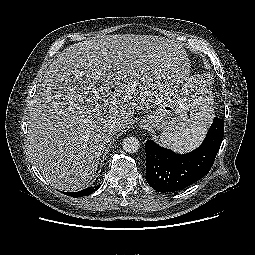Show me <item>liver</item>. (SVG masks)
<instances>
[{
	"label": "liver",
	"instance_id": "obj_1",
	"mask_svg": "<svg viewBox=\"0 0 255 255\" xmlns=\"http://www.w3.org/2000/svg\"><path fill=\"white\" fill-rule=\"evenodd\" d=\"M177 42L159 36L116 34L64 49L39 84L30 112L31 159L54 188L76 191L96 175L112 136L129 127L135 110L160 105L170 90L186 97L196 80ZM119 120L112 131L108 123Z\"/></svg>",
	"mask_w": 255,
	"mask_h": 255
}]
</instances>
